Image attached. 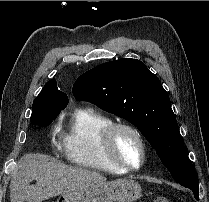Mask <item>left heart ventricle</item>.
<instances>
[{"mask_svg":"<svg viewBox=\"0 0 209 202\" xmlns=\"http://www.w3.org/2000/svg\"><path fill=\"white\" fill-rule=\"evenodd\" d=\"M115 154L125 162L137 166L141 161V147L137 139L128 131L116 133L113 141Z\"/></svg>","mask_w":209,"mask_h":202,"instance_id":"b2bd125f","label":"left heart ventricle"}]
</instances>
